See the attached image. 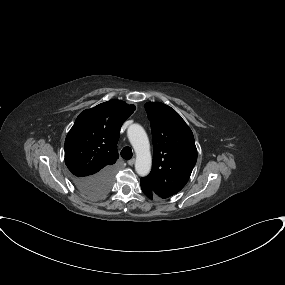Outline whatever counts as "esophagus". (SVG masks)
Returning a JSON list of instances; mask_svg holds the SVG:
<instances>
[{
    "label": "esophagus",
    "mask_w": 285,
    "mask_h": 285,
    "mask_svg": "<svg viewBox=\"0 0 285 285\" xmlns=\"http://www.w3.org/2000/svg\"><path fill=\"white\" fill-rule=\"evenodd\" d=\"M127 163H128V165L133 166L134 163H135V159L132 158V159H130Z\"/></svg>",
    "instance_id": "esophagus-1"
}]
</instances>
